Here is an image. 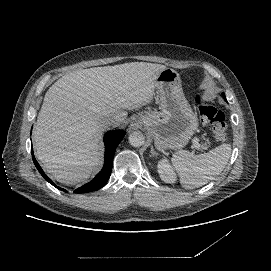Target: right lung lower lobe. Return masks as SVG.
<instances>
[{
	"mask_svg": "<svg viewBox=\"0 0 271 271\" xmlns=\"http://www.w3.org/2000/svg\"><path fill=\"white\" fill-rule=\"evenodd\" d=\"M125 136V131L118 130V131H110L105 134L104 136V142H105V163L103 166V169L96 175V177L89 183L81 186L80 188L76 189L75 193H86V192H92L96 191L100 188H102L108 181L111 171H112V164H113V157L115 150L118 146V144L121 142L123 137ZM33 161L35 166L37 167L40 174L53 186L56 188L63 190L67 192L66 190L56 186L51 179L43 172L42 168L36 161L33 153V149L31 150Z\"/></svg>",
	"mask_w": 271,
	"mask_h": 271,
	"instance_id": "right-lung-lower-lobe-1",
	"label": "right lung lower lobe"
}]
</instances>
